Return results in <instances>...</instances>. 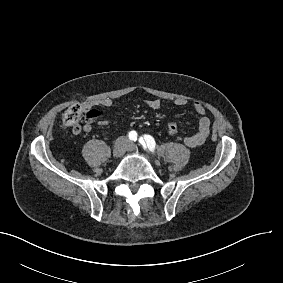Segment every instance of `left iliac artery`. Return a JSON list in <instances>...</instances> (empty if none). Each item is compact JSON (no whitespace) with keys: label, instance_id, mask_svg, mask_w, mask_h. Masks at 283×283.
<instances>
[{"label":"left iliac artery","instance_id":"obj_1","mask_svg":"<svg viewBox=\"0 0 283 283\" xmlns=\"http://www.w3.org/2000/svg\"><path fill=\"white\" fill-rule=\"evenodd\" d=\"M139 143L143 146L144 149L148 148L152 152L155 150L156 143L154 138L150 135H144V138L140 137Z\"/></svg>","mask_w":283,"mask_h":283}]
</instances>
